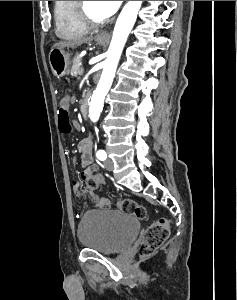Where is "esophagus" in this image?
Returning a JSON list of instances; mask_svg holds the SVG:
<instances>
[{
	"mask_svg": "<svg viewBox=\"0 0 237 300\" xmlns=\"http://www.w3.org/2000/svg\"><path fill=\"white\" fill-rule=\"evenodd\" d=\"M109 38V33L107 31H103L102 33L97 34V40H105Z\"/></svg>",
	"mask_w": 237,
	"mask_h": 300,
	"instance_id": "obj_1",
	"label": "esophagus"
}]
</instances>
